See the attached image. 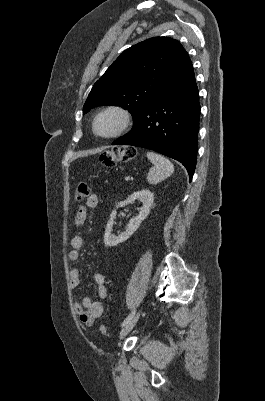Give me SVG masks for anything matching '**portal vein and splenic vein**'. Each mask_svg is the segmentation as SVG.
Returning a JSON list of instances; mask_svg holds the SVG:
<instances>
[{"label":"portal vein and splenic vein","instance_id":"portal-vein-and-splenic-vein-1","mask_svg":"<svg viewBox=\"0 0 265 401\" xmlns=\"http://www.w3.org/2000/svg\"><path fill=\"white\" fill-rule=\"evenodd\" d=\"M124 180H125V181H129V180H130V177H129V176H125V177H124Z\"/></svg>","mask_w":265,"mask_h":401}]
</instances>
